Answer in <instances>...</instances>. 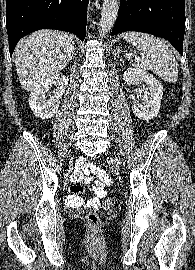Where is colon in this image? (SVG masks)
I'll use <instances>...</instances> for the list:
<instances>
[{
	"label": "colon",
	"mask_w": 195,
	"mask_h": 270,
	"mask_svg": "<svg viewBox=\"0 0 195 270\" xmlns=\"http://www.w3.org/2000/svg\"><path fill=\"white\" fill-rule=\"evenodd\" d=\"M115 203L113 199L106 202L107 206H112ZM86 224L92 232H96L100 226V218L95 212H90L86 215Z\"/></svg>",
	"instance_id": "colon-1"
}]
</instances>
